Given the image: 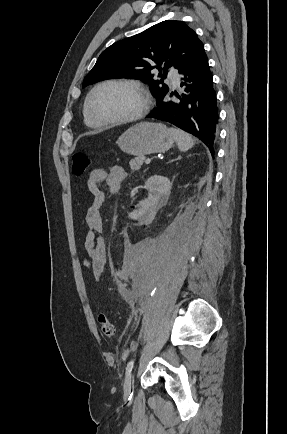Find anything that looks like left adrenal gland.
Masks as SVG:
<instances>
[{
	"mask_svg": "<svg viewBox=\"0 0 287 434\" xmlns=\"http://www.w3.org/2000/svg\"><path fill=\"white\" fill-rule=\"evenodd\" d=\"M180 158H181V157L179 156V157H178L177 159H175V160H178V159H180ZM175 160H172V161H175ZM172 161H171V162H172Z\"/></svg>",
	"mask_w": 287,
	"mask_h": 434,
	"instance_id": "a2214340",
	"label": "left adrenal gland"
}]
</instances>
